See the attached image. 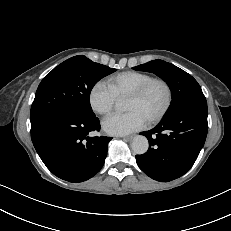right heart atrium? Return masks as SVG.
Listing matches in <instances>:
<instances>
[{
  "label": "right heart atrium",
  "mask_w": 231,
  "mask_h": 231,
  "mask_svg": "<svg viewBox=\"0 0 231 231\" xmlns=\"http://www.w3.org/2000/svg\"><path fill=\"white\" fill-rule=\"evenodd\" d=\"M88 101L95 113L107 115L113 110L117 97L106 83L98 81L91 87L88 94Z\"/></svg>",
  "instance_id": "obj_1"
}]
</instances>
